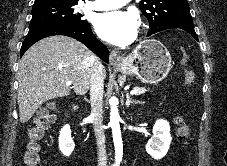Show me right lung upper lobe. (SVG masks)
Instances as JSON below:
<instances>
[{"label":"right lung upper lobe","instance_id":"cb5924a9","mask_svg":"<svg viewBox=\"0 0 227 166\" xmlns=\"http://www.w3.org/2000/svg\"><path fill=\"white\" fill-rule=\"evenodd\" d=\"M48 2H60V3H78V0H35L34 5L48 3Z\"/></svg>","mask_w":227,"mask_h":166}]
</instances>
